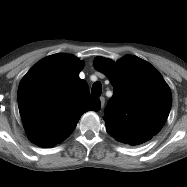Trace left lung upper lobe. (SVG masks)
Listing matches in <instances>:
<instances>
[{"label":"left lung upper lobe","instance_id":"1","mask_svg":"<svg viewBox=\"0 0 187 187\" xmlns=\"http://www.w3.org/2000/svg\"><path fill=\"white\" fill-rule=\"evenodd\" d=\"M94 67L109 78L114 88L105 109L107 132L131 146L150 140L163 127L172 104L170 88L161 74L132 55L117 62L96 57Z\"/></svg>","mask_w":187,"mask_h":187}]
</instances>
